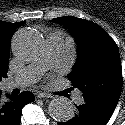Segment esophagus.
<instances>
[{
    "label": "esophagus",
    "mask_w": 125,
    "mask_h": 125,
    "mask_svg": "<svg viewBox=\"0 0 125 125\" xmlns=\"http://www.w3.org/2000/svg\"><path fill=\"white\" fill-rule=\"evenodd\" d=\"M37 97L38 98H53V96L49 93H46V92H39L37 94Z\"/></svg>",
    "instance_id": "obj_1"
}]
</instances>
